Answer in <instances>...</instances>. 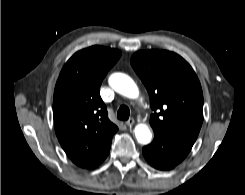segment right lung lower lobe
Wrapping results in <instances>:
<instances>
[{
	"label": "right lung lower lobe",
	"instance_id": "obj_1",
	"mask_svg": "<svg viewBox=\"0 0 245 195\" xmlns=\"http://www.w3.org/2000/svg\"><path fill=\"white\" fill-rule=\"evenodd\" d=\"M110 146H111V145H110ZM109 151H110V147H109V149L107 150V153H106V155H105V158L107 157Z\"/></svg>",
	"mask_w": 245,
	"mask_h": 195
}]
</instances>
